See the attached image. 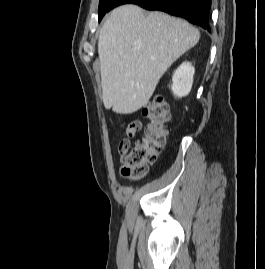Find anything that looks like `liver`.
<instances>
[{
    "mask_svg": "<svg viewBox=\"0 0 265 269\" xmlns=\"http://www.w3.org/2000/svg\"><path fill=\"white\" fill-rule=\"evenodd\" d=\"M200 39L187 21L136 5L106 19L98 40L102 98L106 109L130 114L145 106L167 69Z\"/></svg>",
    "mask_w": 265,
    "mask_h": 269,
    "instance_id": "6515ba94",
    "label": "liver"
}]
</instances>
